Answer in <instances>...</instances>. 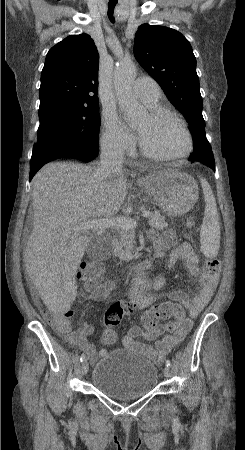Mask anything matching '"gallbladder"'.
<instances>
[{"mask_svg": "<svg viewBox=\"0 0 245 450\" xmlns=\"http://www.w3.org/2000/svg\"><path fill=\"white\" fill-rule=\"evenodd\" d=\"M87 254L90 258L95 260H104L106 258V250L103 246V244L91 241L89 245L87 246Z\"/></svg>", "mask_w": 245, "mask_h": 450, "instance_id": "obj_1", "label": "gallbladder"}]
</instances>
